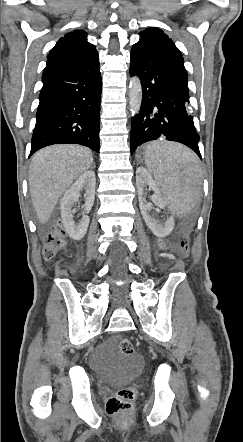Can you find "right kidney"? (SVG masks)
Here are the masks:
<instances>
[{
    "label": "right kidney",
    "mask_w": 243,
    "mask_h": 442,
    "mask_svg": "<svg viewBox=\"0 0 243 442\" xmlns=\"http://www.w3.org/2000/svg\"><path fill=\"white\" fill-rule=\"evenodd\" d=\"M95 184V173L93 171H86L66 190L61 199L60 211L62 222L66 232L74 240H81L87 232L90 221L87 214L91 211L94 203ZM82 189L86 192L83 217L78 223H75L73 220L75 212L72 210V206L79 200Z\"/></svg>",
    "instance_id": "1"
}]
</instances>
